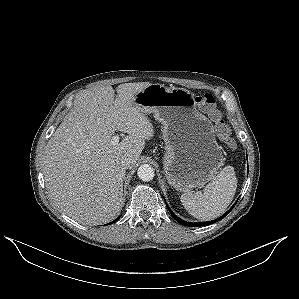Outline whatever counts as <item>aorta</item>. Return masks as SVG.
<instances>
[{
  "mask_svg": "<svg viewBox=\"0 0 299 299\" xmlns=\"http://www.w3.org/2000/svg\"><path fill=\"white\" fill-rule=\"evenodd\" d=\"M137 175L139 179H141L144 182H148L154 178V169L148 165L143 164L138 168Z\"/></svg>",
  "mask_w": 299,
  "mask_h": 299,
  "instance_id": "obj_1",
  "label": "aorta"
}]
</instances>
